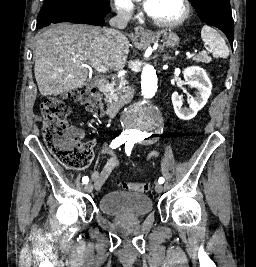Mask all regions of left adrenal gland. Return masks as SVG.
<instances>
[{
    "instance_id": "1",
    "label": "left adrenal gland",
    "mask_w": 256,
    "mask_h": 267,
    "mask_svg": "<svg viewBox=\"0 0 256 267\" xmlns=\"http://www.w3.org/2000/svg\"><path fill=\"white\" fill-rule=\"evenodd\" d=\"M165 60H174V58H171V56H168V54H165Z\"/></svg>"
}]
</instances>
